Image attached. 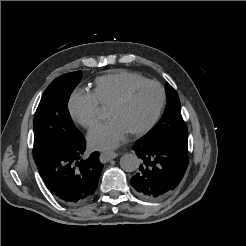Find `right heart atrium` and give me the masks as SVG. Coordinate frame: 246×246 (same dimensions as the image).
I'll list each match as a JSON object with an SVG mask.
<instances>
[{
	"mask_svg": "<svg viewBox=\"0 0 246 246\" xmlns=\"http://www.w3.org/2000/svg\"><path fill=\"white\" fill-rule=\"evenodd\" d=\"M68 111L77 124L91 128L99 120L100 105L91 92L76 90L68 100Z\"/></svg>",
	"mask_w": 246,
	"mask_h": 246,
	"instance_id": "right-heart-atrium-1",
	"label": "right heart atrium"
}]
</instances>
